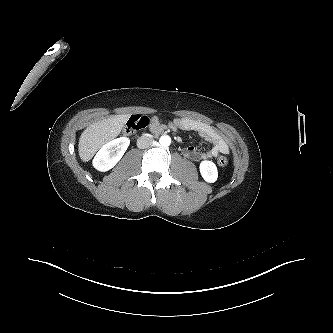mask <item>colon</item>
I'll return each mask as SVG.
<instances>
[{
  "instance_id": "1",
  "label": "colon",
  "mask_w": 333,
  "mask_h": 333,
  "mask_svg": "<svg viewBox=\"0 0 333 333\" xmlns=\"http://www.w3.org/2000/svg\"><path fill=\"white\" fill-rule=\"evenodd\" d=\"M152 118L149 116L133 115L130 117L123 129V135L129 136L136 133L138 130L147 127L151 123ZM228 160L225 156L217 157V164L221 167L226 166Z\"/></svg>"
}]
</instances>
